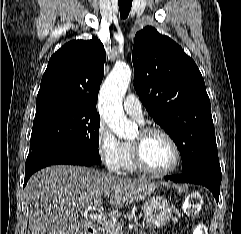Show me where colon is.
<instances>
[{
    "mask_svg": "<svg viewBox=\"0 0 241 234\" xmlns=\"http://www.w3.org/2000/svg\"><path fill=\"white\" fill-rule=\"evenodd\" d=\"M202 198L199 193H192L184 203V211L187 216L194 217L196 216L201 209ZM192 234H205V229L203 226L198 225Z\"/></svg>",
    "mask_w": 241,
    "mask_h": 234,
    "instance_id": "5ec220e1",
    "label": "colon"
}]
</instances>
